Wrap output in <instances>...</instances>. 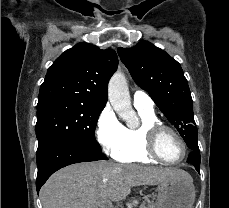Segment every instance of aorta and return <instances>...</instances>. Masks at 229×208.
<instances>
[{
  "label": "aorta",
  "instance_id": "aorta-1",
  "mask_svg": "<svg viewBox=\"0 0 229 208\" xmlns=\"http://www.w3.org/2000/svg\"><path fill=\"white\" fill-rule=\"evenodd\" d=\"M108 98L116 113L130 126L136 125L138 118L130 102V94L125 75L118 71L110 79Z\"/></svg>",
  "mask_w": 229,
  "mask_h": 208
}]
</instances>
